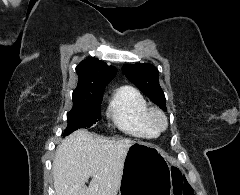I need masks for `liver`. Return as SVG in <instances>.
I'll return each instance as SVG.
<instances>
[{"mask_svg":"<svg viewBox=\"0 0 240 195\" xmlns=\"http://www.w3.org/2000/svg\"><path fill=\"white\" fill-rule=\"evenodd\" d=\"M132 143L134 139L128 137L115 141L87 129L73 131L55 151L52 173L56 195H117Z\"/></svg>","mask_w":240,"mask_h":195,"instance_id":"liver-1","label":"liver"}]
</instances>
